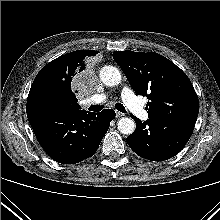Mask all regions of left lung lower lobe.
<instances>
[{"mask_svg":"<svg viewBox=\"0 0 220 220\" xmlns=\"http://www.w3.org/2000/svg\"><path fill=\"white\" fill-rule=\"evenodd\" d=\"M132 117L136 129L128 136L127 143L136 154L152 161H164L178 154L191 137L197 119L180 114L149 118L142 123Z\"/></svg>","mask_w":220,"mask_h":220,"instance_id":"left-lung-lower-lobe-1","label":"left lung lower lobe"}]
</instances>
